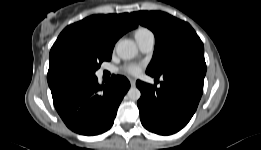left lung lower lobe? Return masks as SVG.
Here are the masks:
<instances>
[{
  "label": "left lung lower lobe",
  "instance_id": "left-lung-lower-lobe-1",
  "mask_svg": "<svg viewBox=\"0 0 261 150\" xmlns=\"http://www.w3.org/2000/svg\"><path fill=\"white\" fill-rule=\"evenodd\" d=\"M158 79L160 75L146 72ZM206 64L182 62L162 74L160 87L141 81L137 105L142 125L159 135H170L181 130L195 113L203 93Z\"/></svg>",
  "mask_w": 261,
  "mask_h": 150
}]
</instances>
